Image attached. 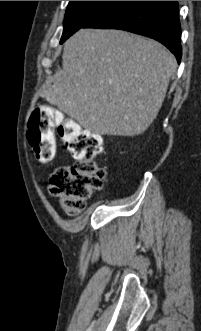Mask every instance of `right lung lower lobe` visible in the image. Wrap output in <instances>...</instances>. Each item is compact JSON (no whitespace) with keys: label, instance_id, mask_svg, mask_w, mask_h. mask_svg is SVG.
I'll return each mask as SVG.
<instances>
[{"label":"right lung lower lobe","instance_id":"right-lung-lower-lobe-1","mask_svg":"<svg viewBox=\"0 0 201 331\" xmlns=\"http://www.w3.org/2000/svg\"><path fill=\"white\" fill-rule=\"evenodd\" d=\"M82 28L120 29L153 38L165 45L180 63L177 1H112Z\"/></svg>","mask_w":201,"mask_h":331}]
</instances>
